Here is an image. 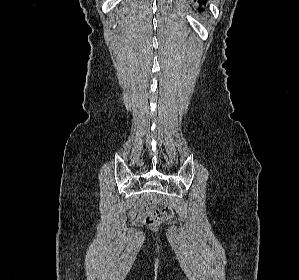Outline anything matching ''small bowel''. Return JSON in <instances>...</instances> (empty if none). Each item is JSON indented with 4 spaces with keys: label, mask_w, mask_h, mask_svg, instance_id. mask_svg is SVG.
I'll return each instance as SVG.
<instances>
[{
    "label": "small bowel",
    "mask_w": 299,
    "mask_h": 280,
    "mask_svg": "<svg viewBox=\"0 0 299 280\" xmlns=\"http://www.w3.org/2000/svg\"><path fill=\"white\" fill-rule=\"evenodd\" d=\"M151 205L148 202L139 203L132 211V216L135 219H144L151 212Z\"/></svg>",
    "instance_id": "small-bowel-1"
}]
</instances>
